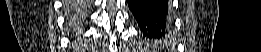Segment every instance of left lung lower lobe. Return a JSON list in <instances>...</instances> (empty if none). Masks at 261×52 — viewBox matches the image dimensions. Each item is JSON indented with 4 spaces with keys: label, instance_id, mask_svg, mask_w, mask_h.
<instances>
[{
    "label": "left lung lower lobe",
    "instance_id": "0a47b994",
    "mask_svg": "<svg viewBox=\"0 0 261 52\" xmlns=\"http://www.w3.org/2000/svg\"><path fill=\"white\" fill-rule=\"evenodd\" d=\"M143 35L159 39L170 31L171 20L168 0H127Z\"/></svg>",
    "mask_w": 261,
    "mask_h": 52
}]
</instances>
